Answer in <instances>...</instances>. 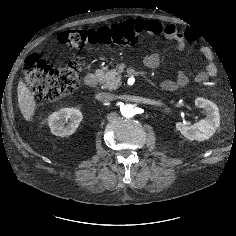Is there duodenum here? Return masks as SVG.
Returning <instances> with one entry per match:
<instances>
[{
  "label": "duodenum",
  "instance_id": "1",
  "mask_svg": "<svg viewBox=\"0 0 236 236\" xmlns=\"http://www.w3.org/2000/svg\"><path fill=\"white\" fill-rule=\"evenodd\" d=\"M98 77V73L95 71L87 74L84 78L85 85L90 87L94 86L98 81Z\"/></svg>",
  "mask_w": 236,
  "mask_h": 236
}]
</instances>
